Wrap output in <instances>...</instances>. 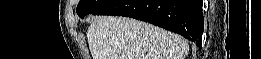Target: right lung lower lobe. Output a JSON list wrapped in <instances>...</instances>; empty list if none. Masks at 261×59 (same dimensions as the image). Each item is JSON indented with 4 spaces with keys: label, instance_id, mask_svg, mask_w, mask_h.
<instances>
[{
    "label": "right lung lower lobe",
    "instance_id": "1",
    "mask_svg": "<svg viewBox=\"0 0 261 59\" xmlns=\"http://www.w3.org/2000/svg\"><path fill=\"white\" fill-rule=\"evenodd\" d=\"M93 15L142 20L180 34L201 47L202 0H110Z\"/></svg>",
    "mask_w": 261,
    "mask_h": 59
}]
</instances>
